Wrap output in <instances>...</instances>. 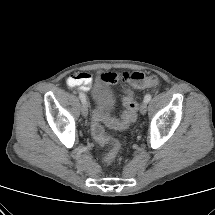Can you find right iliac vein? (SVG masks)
<instances>
[{"mask_svg":"<svg viewBox=\"0 0 215 215\" xmlns=\"http://www.w3.org/2000/svg\"><path fill=\"white\" fill-rule=\"evenodd\" d=\"M81 112H82V115H83L84 117H87V115H88V105H87V102H86V101L82 103Z\"/></svg>","mask_w":215,"mask_h":215,"instance_id":"obj_1","label":"right iliac vein"}]
</instances>
